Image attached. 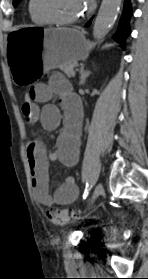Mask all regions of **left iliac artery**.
I'll list each match as a JSON object with an SVG mask.
<instances>
[{"instance_id":"1","label":"left iliac artery","mask_w":148,"mask_h":279,"mask_svg":"<svg viewBox=\"0 0 148 279\" xmlns=\"http://www.w3.org/2000/svg\"><path fill=\"white\" fill-rule=\"evenodd\" d=\"M90 189H91V184L87 183L86 187H85V190H84L83 199H86V197L89 194Z\"/></svg>"}]
</instances>
